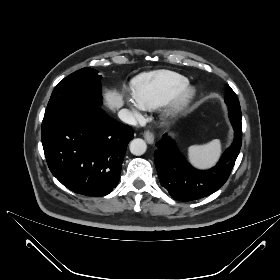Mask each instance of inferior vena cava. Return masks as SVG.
<instances>
[{"label": "inferior vena cava", "instance_id": "1", "mask_svg": "<svg viewBox=\"0 0 280 280\" xmlns=\"http://www.w3.org/2000/svg\"><path fill=\"white\" fill-rule=\"evenodd\" d=\"M118 117L121 121L129 124L136 126L137 125V120L134 117V115L127 109H122L118 112Z\"/></svg>", "mask_w": 280, "mask_h": 280}]
</instances>
